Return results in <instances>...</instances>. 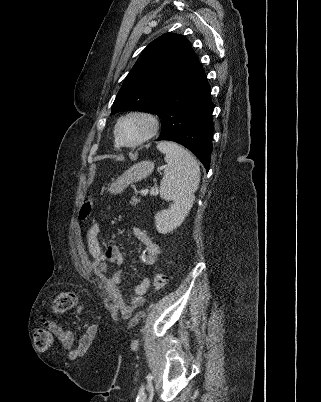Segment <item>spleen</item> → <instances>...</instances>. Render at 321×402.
<instances>
[{
    "label": "spleen",
    "mask_w": 321,
    "mask_h": 402,
    "mask_svg": "<svg viewBox=\"0 0 321 402\" xmlns=\"http://www.w3.org/2000/svg\"><path fill=\"white\" fill-rule=\"evenodd\" d=\"M157 149L165 155L166 162L160 196L173 203L155 215V224L159 232L167 233L177 227L192 208L200 183V168L195 157L174 142L162 141Z\"/></svg>",
    "instance_id": "obj_1"
}]
</instances>
